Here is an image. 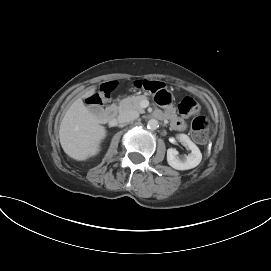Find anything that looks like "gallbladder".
<instances>
[{"instance_id":"obj_1","label":"gallbladder","mask_w":271,"mask_h":271,"mask_svg":"<svg viewBox=\"0 0 271 271\" xmlns=\"http://www.w3.org/2000/svg\"><path fill=\"white\" fill-rule=\"evenodd\" d=\"M89 111L93 113L99 120H102L104 118V111L99 106H91L89 108Z\"/></svg>"}]
</instances>
